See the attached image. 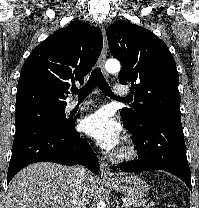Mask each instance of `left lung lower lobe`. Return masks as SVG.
Wrapping results in <instances>:
<instances>
[{
  "label": "left lung lower lobe",
  "mask_w": 199,
  "mask_h": 208,
  "mask_svg": "<svg viewBox=\"0 0 199 208\" xmlns=\"http://www.w3.org/2000/svg\"><path fill=\"white\" fill-rule=\"evenodd\" d=\"M128 131L133 135L139 157L122 163L121 171L165 170L183 180L192 191L181 116H154L147 119L138 132Z\"/></svg>",
  "instance_id": "0a47b994"
}]
</instances>
